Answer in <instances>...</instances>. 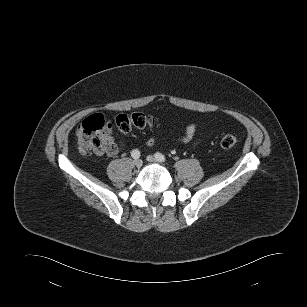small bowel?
<instances>
[{"label":"small bowel","instance_id":"obj_1","mask_svg":"<svg viewBox=\"0 0 307 307\" xmlns=\"http://www.w3.org/2000/svg\"><path fill=\"white\" fill-rule=\"evenodd\" d=\"M196 129H197V125L196 124H194V123L189 124L186 127V129H185L184 135L180 137V141L183 142V143H191V142H193ZM107 136L110 139V141L108 142L107 150L105 152L107 154H109V155H114V154H116L119 151L120 147H119L118 144H116L112 140V138L110 136V130H108ZM153 143H154V139L150 138L148 140V144L152 145ZM101 153H103V152H101Z\"/></svg>","mask_w":307,"mask_h":307}]
</instances>
